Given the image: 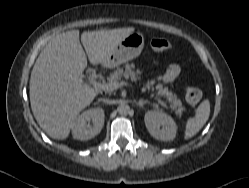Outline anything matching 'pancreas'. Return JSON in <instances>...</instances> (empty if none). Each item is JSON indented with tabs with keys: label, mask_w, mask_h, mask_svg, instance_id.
<instances>
[{
	"label": "pancreas",
	"mask_w": 249,
	"mask_h": 188,
	"mask_svg": "<svg viewBox=\"0 0 249 188\" xmlns=\"http://www.w3.org/2000/svg\"><path fill=\"white\" fill-rule=\"evenodd\" d=\"M134 64H126L124 68L118 67L110 76L108 77V83H115L118 82L121 78L128 79L129 77L133 81H140L141 80V71L137 70L134 71ZM155 84V80H152L148 83V87L153 86ZM158 96L166 97L170 103V108L175 111V114L178 116L182 115L183 107L181 101L178 99L177 95L169 90L167 87H164L161 83H158L155 87ZM153 90V88H152ZM113 91V90H112ZM112 91H105V92H112Z\"/></svg>",
	"instance_id": "1"
}]
</instances>
